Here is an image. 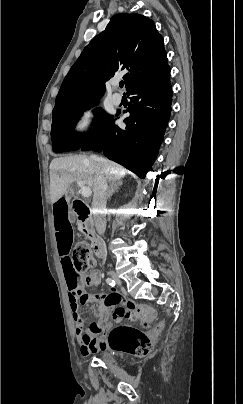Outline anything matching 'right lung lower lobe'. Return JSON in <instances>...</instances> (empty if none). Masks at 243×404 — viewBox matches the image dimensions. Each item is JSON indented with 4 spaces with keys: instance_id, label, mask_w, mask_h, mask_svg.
I'll list each match as a JSON object with an SVG mask.
<instances>
[{
    "instance_id": "right-lung-lower-lobe-1",
    "label": "right lung lower lobe",
    "mask_w": 243,
    "mask_h": 404,
    "mask_svg": "<svg viewBox=\"0 0 243 404\" xmlns=\"http://www.w3.org/2000/svg\"><path fill=\"white\" fill-rule=\"evenodd\" d=\"M127 95H132L133 104L127 110L130 116L124 119L126 127L120 129L114 125L113 118L100 134L80 149L103 152L109 159L145 178L156 159L171 113L169 66L132 85Z\"/></svg>"
}]
</instances>
